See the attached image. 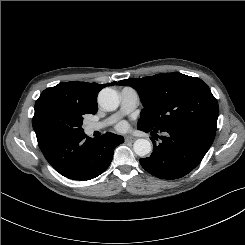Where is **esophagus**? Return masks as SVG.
<instances>
[{
  "label": "esophagus",
  "mask_w": 245,
  "mask_h": 245,
  "mask_svg": "<svg viewBox=\"0 0 245 245\" xmlns=\"http://www.w3.org/2000/svg\"><path fill=\"white\" fill-rule=\"evenodd\" d=\"M135 139H136L135 137L129 136V135L125 137L126 142H133V141H135Z\"/></svg>",
  "instance_id": "esophagus-1"
}]
</instances>
